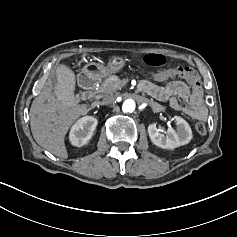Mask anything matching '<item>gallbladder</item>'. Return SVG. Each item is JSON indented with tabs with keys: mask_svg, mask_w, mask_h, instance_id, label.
I'll list each match as a JSON object with an SVG mask.
<instances>
[{
	"mask_svg": "<svg viewBox=\"0 0 237 237\" xmlns=\"http://www.w3.org/2000/svg\"><path fill=\"white\" fill-rule=\"evenodd\" d=\"M60 80L56 87V92L59 95V100L65 105H70L73 102L72 90L74 88V76L71 69L63 68L58 72Z\"/></svg>",
	"mask_w": 237,
	"mask_h": 237,
	"instance_id": "1",
	"label": "gallbladder"
}]
</instances>
